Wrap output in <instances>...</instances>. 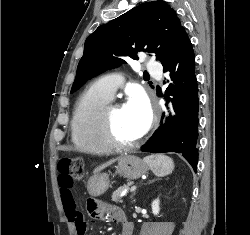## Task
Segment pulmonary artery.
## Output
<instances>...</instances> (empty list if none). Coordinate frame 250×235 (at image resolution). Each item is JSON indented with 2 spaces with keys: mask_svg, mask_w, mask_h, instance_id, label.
I'll use <instances>...</instances> for the list:
<instances>
[{
  "mask_svg": "<svg viewBox=\"0 0 250 235\" xmlns=\"http://www.w3.org/2000/svg\"><path fill=\"white\" fill-rule=\"evenodd\" d=\"M147 69L151 74L157 77H160L162 72L161 68L152 61L148 62ZM121 81H122L121 76L109 75L101 77L98 80H96L94 82V86L97 90L112 98L116 90L119 88Z\"/></svg>",
  "mask_w": 250,
  "mask_h": 235,
  "instance_id": "e3ab8cb5",
  "label": "pulmonary artery"
}]
</instances>
